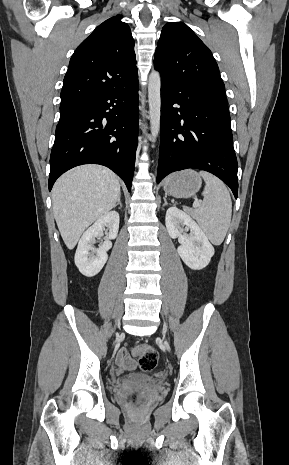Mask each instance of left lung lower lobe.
I'll list each match as a JSON object with an SVG mask.
<instances>
[{"label": "left lung lower lobe", "instance_id": "0a47b994", "mask_svg": "<svg viewBox=\"0 0 289 465\" xmlns=\"http://www.w3.org/2000/svg\"><path fill=\"white\" fill-rule=\"evenodd\" d=\"M157 183L174 171H208L238 193L237 159L226 96L161 80Z\"/></svg>", "mask_w": 289, "mask_h": 465}]
</instances>
